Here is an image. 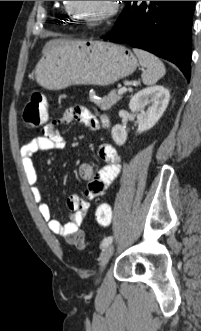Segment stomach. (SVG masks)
<instances>
[{
    "mask_svg": "<svg viewBox=\"0 0 201 331\" xmlns=\"http://www.w3.org/2000/svg\"><path fill=\"white\" fill-rule=\"evenodd\" d=\"M137 66V58L123 45L69 40L43 52L35 76L41 86L50 90L80 84L106 86L131 75Z\"/></svg>",
    "mask_w": 201,
    "mask_h": 331,
    "instance_id": "0dacf381",
    "label": "stomach"
}]
</instances>
